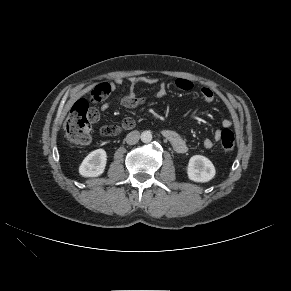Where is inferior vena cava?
Listing matches in <instances>:
<instances>
[{
  "instance_id": "obj_1",
  "label": "inferior vena cava",
  "mask_w": 291,
  "mask_h": 291,
  "mask_svg": "<svg viewBox=\"0 0 291 291\" xmlns=\"http://www.w3.org/2000/svg\"><path fill=\"white\" fill-rule=\"evenodd\" d=\"M140 133L138 131H132L129 134H127L125 141L129 145H134L139 141Z\"/></svg>"
}]
</instances>
